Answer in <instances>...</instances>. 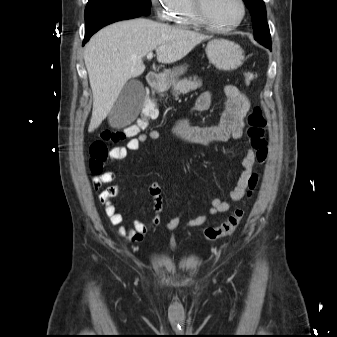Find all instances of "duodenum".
<instances>
[{
    "instance_id": "1",
    "label": "duodenum",
    "mask_w": 337,
    "mask_h": 337,
    "mask_svg": "<svg viewBox=\"0 0 337 337\" xmlns=\"http://www.w3.org/2000/svg\"><path fill=\"white\" fill-rule=\"evenodd\" d=\"M147 82L151 88L157 89L162 84V77L158 72H150L147 75Z\"/></svg>"
}]
</instances>
